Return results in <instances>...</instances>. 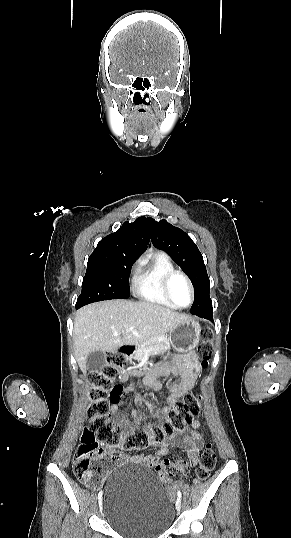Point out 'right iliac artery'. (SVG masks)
Masks as SVG:
<instances>
[{
  "label": "right iliac artery",
  "mask_w": 291,
  "mask_h": 538,
  "mask_svg": "<svg viewBox=\"0 0 291 538\" xmlns=\"http://www.w3.org/2000/svg\"><path fill=\"white\" fill-rule=\"evenodd\" d=\"M101 498H102V491H100L98 494V499H101Z\"/></svg>",
  "instance_id": "obj_1"
}]
</instances>
